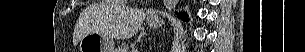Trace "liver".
Returning <instances> with one entry per match:
<instances>
[{"mask_svg":"<svg viewBox=\"0 0 305 52\" xmlns=\"http://www.w3.org/2000/svg\"><path fill=\"white\" fill-rule=\"evenodd\" d=\"M144 18L145 13L142 10L130 8L121 4L120 1H115L111 6L110 23L107 30L91 28L89 21L85 20L82 25L76 26L73 43L77 45L84 35L93 32H100L114 39H129L138 32Z\"/></svg>","mask_w":305,"mask_h":52,"instance_id":"1","label":"liver"}]
</instances>
